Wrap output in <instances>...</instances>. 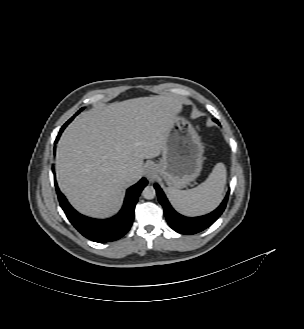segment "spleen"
Instances as JSON below:
<instances>
[{
  "instance_id": "obj_1",
  "label": "spleen",
  "mask_w": 304,
  "mask_h": 329,
  "mask_svg": "<svg viewBox=\"0 0 304 329\" xmlns=\"http://www.w3.org/2000/svg\"><path fill=\"white\" fill-rule=\"evenodd\" d=\"M227 172L223 163H217L208 178L195 188L179 190L167 188L173 207L183 215L198 216L214 210L222 200Z\"/></svg>"
}]
</instances>
